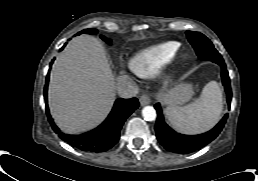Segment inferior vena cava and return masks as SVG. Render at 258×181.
<instances>
[{
  "mask_svg": "<svg viewBox=\"0 0 258 181\" xmlns=\"http://www.w3.org/2000/svg\"><path fill=\"white\" fill-rule=\"evenodd\" d=\"M139 88L130 77L123 75L117 79V92L122 98H132L138 94Z\"/></svg>",
  "mask_w": 258,
  "mask_h": 181,
  "instance_id": "1",
  "label": "inferior vena cava"
}]
</instances>
